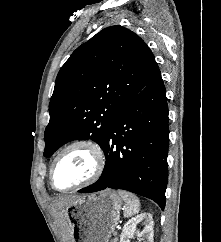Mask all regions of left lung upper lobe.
<instances>
[{
  "label": "left lung upper lobe",
  "instance_id": "1",
  "mask_svg": "<svg viewBox=\"0 0 221 242\" xmlns=\"http://www.w3.org/2000/svg\"><path fill=\"white\" fill-rule=\"evenodd\" d=\"M158 72L147 44L119 25L79 46L56 78L44 156L72 140L92 139L102 148L117 114Z\"/></svg>",
  "mask_w": 221,
  "mask_h": 242
}]
</instances>
